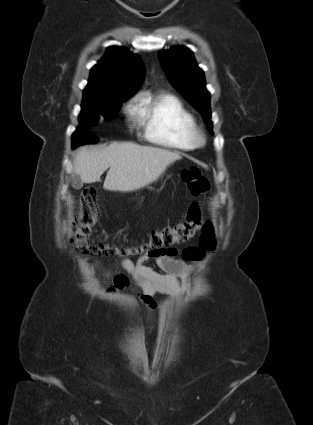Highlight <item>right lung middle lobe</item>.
Masks as SVG:
<instances>
[{
    "mask_svg": "<svg viewBox=\"0 0 313 425\" xmlns=\"http://www.w3.org/2000/svg\"><path fill=\"white\" fill-rule=\"evenodd\" d=\"M129 97V95L125 94H112L100 99L82 102V110L79 115L80 126H94L101 118L109 119L114 117L121 108V102L127 100ZM82 144H86V142L81 137L77 135L72 136L73 148Z\"/></svg>",
    "mask_w": 313,
    "mask_h": 425,
    "instance_id": "obj_1",
    "label": "right lung middle lobe"
}]
</instances>
